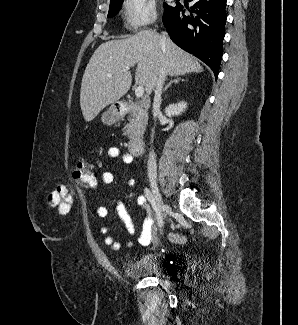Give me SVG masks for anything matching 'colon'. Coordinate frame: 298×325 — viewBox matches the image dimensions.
Listing matches in <instances>:
<instances>
[{"label": "colon", "instance_id": "5ec220e1", "mask_svg": "<svg viewBox=\"0 0 298 325\" xmlns=\"http://www.w3.org/2000/svg\"><path fill=\"white\" fill-rule=\"evenodd\" d=\"M72 178L74 183L81 188H93L96 185V171L86 159L80 158L74 167ZM47 205L55 208L59 214L67 213L72 204L71 189L68 186H59L50 192L46 199ZM170 240L176 243L183 242V237L176 233L169 235Z\"/></svg>", "mask_w": 298, "mask_h": 325}]
</instances>
